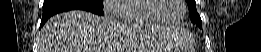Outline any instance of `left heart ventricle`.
Returning <instances> with one entry per match:
<instances>
[{
	"instance_id": "left-heart-ventricle-1",
	"label": "left heart ventricle",
	"mask_w": 261,
	"mask_h": 52,
	"mask_svg": "<svg viewBox=\"0 0 261 52\" xmlns=\"http://www.w3.org/2000/svg\"><path fill=\"white\" fill-rule=\"evenodd\" d=\"M164 3L163 9L159 11L161 18L169 21L178 19L181 15V6L178 0H161Z\"/></svg>"
}]
</instances>
